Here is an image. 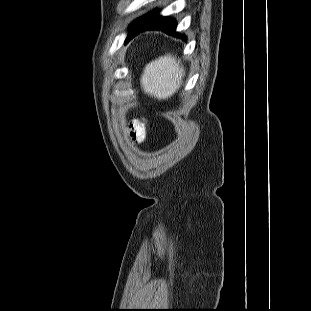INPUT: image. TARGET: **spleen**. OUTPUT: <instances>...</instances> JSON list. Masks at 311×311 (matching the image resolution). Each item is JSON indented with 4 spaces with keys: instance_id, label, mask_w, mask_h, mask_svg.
<instances>
[{
    "instance_id": "1",
    "label": "spleen",
    "mask_w": 311,
    "mask_h": 311,
    "mask_svg": "<svg viewBox=\"0 0 311 311\" xmlns=\"http://www.w3.org/2000/svg\"><path fill=\"white\" fill-rule=\"evenodd\" d=\"M185 71L180 61L172 55H165L150 62L141 76L143 91L157 99H167L179 89Z\"/></svg>"
}]
</instances>
